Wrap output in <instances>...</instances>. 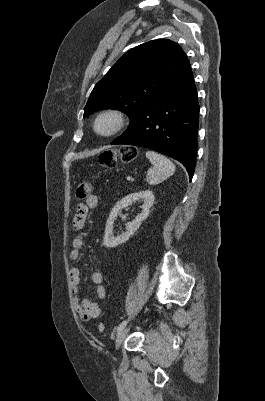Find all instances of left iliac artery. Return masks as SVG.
Returning a JSON list of instances; mask_svg holds the SVG:
<instances>
[{
    "label": "left iliac artery",
    "instance_id": "44dca946",
    "mask_svg": "<svg viewBox=\"0 0 265 401\" xmlns=\"http://www.w3.org/2000/svg\"><path fill=\"white\" fill-rule=\"evenodd\" d=\"M127 322H128V320L122 321V322L118 325L117 331H118V332L121 331V330L126 326Z\"/></svg>",
    "mask_w": 265,
    "mask_h": 401
}]
</instances>
